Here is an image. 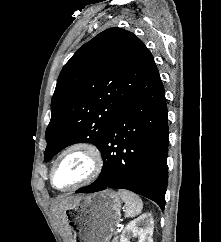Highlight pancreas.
Instances as JSON below:
<instances>
[{"mask_svg": "<svg viewBox=\"0 0 221 242\" xmlns=\"http://www.w3.org/2000/svg\"><path fill=\"white\" fill-rule=\"evenodd\" d=\"M112 242H118V237H114V239L112 240Z\"/></svg>", "mask_w": 221, "mask_h": 242, "instance_id": "cf45deb5", "label": "pancreas"}]
</instances>
